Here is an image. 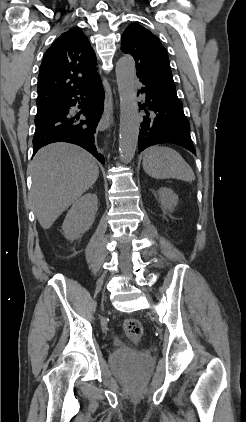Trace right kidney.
I'll return each instance as SVG.
<instances>
[{
	"instance_id": "1",
	"label": "right kidney",
	"mask_w": 246,
	"mask_h": 422,
	"mask_svg": "<svg viewBox=\"0 0 246 422\" xmlns=\"http://www.w3.org/2000/svg\"><path fill=\"white\" fill-rule=\"evenodd\" d=\"M97 203V196L93 193H87L73 203L62 225L66 239L75 240L90 229L95 221Z\"/></svg>"
}]
</instances>
